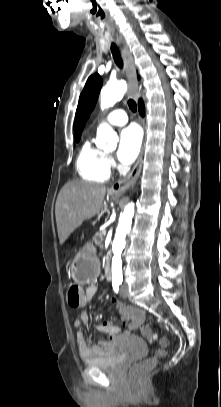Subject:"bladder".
Segmentation results:
<instances>
[{"instance_id":"bladder-1","label":"bladder","mask_w":221,"mask_h":407,"mask_svg":"<svg viewBox=\"0 0 221 407\" xmlns=\"http://www.w3.org/2000/svg\"><path fill=\"white\" fill-rule=\"evenodd\" d=\"M141 352L146 351V344L139 339L134 340ZM126 355L119 349H116L110 355L99 359L86 360L84 363L88 367L97 368L104 371H117L125 362Z\"/></svg>"}]
</instances>
